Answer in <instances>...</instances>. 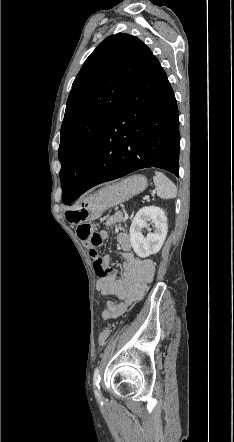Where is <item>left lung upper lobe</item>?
I'll return each mask as SVG.
<instances>
[{"mask_svg": "<svg viewBox=\"0 0 234 442\" xmlns=\"http://www.w3.org/2000/svg\"><path fill=\"white\" fill-rule=\"evenodd\" d=\"M152 57L137 37L118 33L103 40L84 62L73 82L61 126L64 203L76 193L101 133Z\"/></svg>", "mask_w": 234, "mask_h": 442, "instance_id": "left-lung-upper-lobe-1", "label": "left lung upper lobe"}]
</instances>
